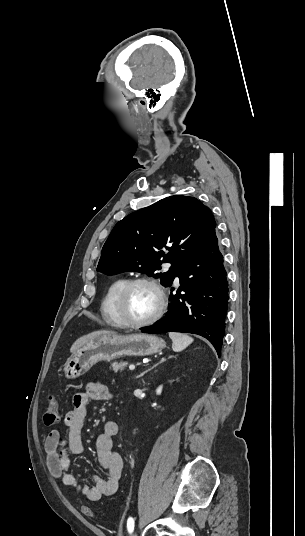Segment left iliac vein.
Instances as JSON below:
<instances>
[{
  "mask_svg": "<svg viewBox=\"0 0 305 536\" xmlns=\"http://www.w3.org/2000/svg\"><path fill=\"white\" fill-rule=\"evenodd\" d=\"M130 536H137V533L134 532V533H132Z\"/></svg>",
  "mask_w": 305,
  "mask_h": 536,
  "instance_id": "1",
  "label": "left iliac vein"
}]
</instances>
